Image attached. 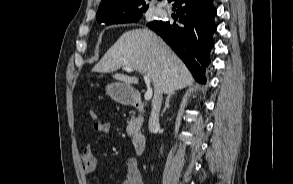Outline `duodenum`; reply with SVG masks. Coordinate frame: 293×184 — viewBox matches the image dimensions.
<instances>
[{"label": "duodenum", "instance_id": "obj_1", "mask_svg": "<svg viewBox=\"0 0 293 184\" xmlns=\"http://www.w3.org/2000/svg\"><path fill=\"white\" fill-rule=\"evenodd\" d=\"M130 103L139 111L144 110V102L139 94H134L130 98ZM132 145L137 155L142 154L146 145V136L143 133H136L132 138Z\"/></svg>", "mask_w": 293, "mask_h": 184}]
</instances>
